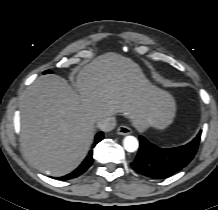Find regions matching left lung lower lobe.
Masks as SVG:
<instances>
[{"instance_id": "obj_1", "label": "left lung lower lobe", "mask_w": 218, "mask_h": 210, "mask_svg": "<svg viewBox=\"0 0 218 210\" xmlns=\"http://www.w3.org/2000/svg\"><path fill=\"white\" fill-rule=\"evenodd\" d=\"M200 136L201 131L188 144L168 149L159 148L140 136V148L131 166L137 173L150 178L163 179L171 176L193 159L200 142Z\"/></svg>"}]
</instances>
